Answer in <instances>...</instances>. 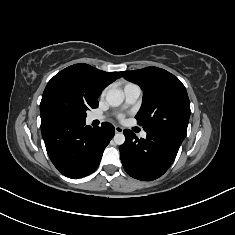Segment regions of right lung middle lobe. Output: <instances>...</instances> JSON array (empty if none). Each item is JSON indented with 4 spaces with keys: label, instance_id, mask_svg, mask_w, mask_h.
<instances>
[{
    "label": "right lung middle lobe",
    "instance_id": "dd1d6c3e",
    "mask_svg": "<svg viewBox=\"0 0 235 235\" xmlns=\"http://www.w3.org/2000/svg\"><path fill=\"white\" fill-rule=\"evenodd\" d=\"M89 109L65 86L47 85L40 104L41 128L84 122Z\"/></svg>",
    "mask_w": 235,
    "mask_h": 235
}]
</instances>
